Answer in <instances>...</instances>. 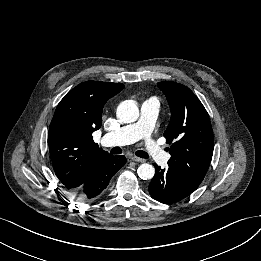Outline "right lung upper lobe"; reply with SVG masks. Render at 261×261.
Masks as SVG:
<instances>
[{"label": "right lung upper lobe", "instance_id": "right-lung-upper-lobe-1", "mask_svg": "<svg viewBox=\"0 0 261 261\" xmlns=\"http://www.w3.org/2000/svg\"><path fill=\"white\" fill-rule=\"evenodd\" d=\"M123 88L121 83L86 81L58 104L49 128V151L67 191L82 185L95 162L109 155L94 143L92 133L101 127L104 104Z\"/></svg>", "mask_w": 261, "mask_h": 261}]
</instances>
